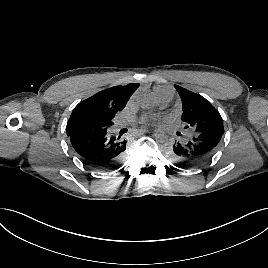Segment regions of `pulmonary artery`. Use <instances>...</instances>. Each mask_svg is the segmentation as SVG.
<instances>
[{"label":"pulmonary artery","mask_w":268,"mask_h":268,"mask_svg":"<svg viewBox=\"0 0 268 268\" xmlns=\"http://www.w3.org/2000/svg\"><path fill=\"white\" fill-rule=\"evenodd\" d=\"M173 94L169 91H158L156 94V102L161 105H165L171 101ZM123 121L118 123V126H122Z\"/></svg>","instance_id":"1"}]
</instances>
